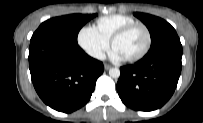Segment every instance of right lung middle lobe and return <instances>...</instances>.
<instances>
[{"mask_svg":"<svg viewBox=\"0 0 203 123\" xmlns=\"http://www.w3.org/2000/svg\"><path fill=\"white\" fill-rule=\"evenodd\" d=\"M96 14H72L51 18L43 22L33 33L31 41L52 40L63 44H77V35L82 26Z\"/></svg>","mask_w":203,"mask_h":123,"instance_id":"obj_1","label":"right lung middle lobe"}]
</instances>
